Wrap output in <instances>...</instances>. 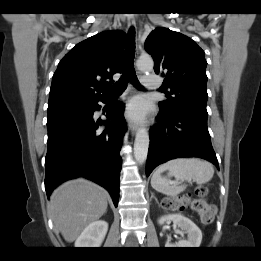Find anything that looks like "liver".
Wrapping results in <instances>:
<instances>
[{
  "mask_svg": "<svg viewBox=\"0 0 261 261\" xmlns=\"http://www.w3.org/2000/svg\"><path fill=\"white\" fill-rule=\"evenodd\" d=\"M107 191L85 179H76L57 188L50 199L55 226L67 242H73L107 210Z\"/></svg>",
  "mask_w": 261,
  "mask_h": 261,
  "instance_id": "liver-1",
  "label": "liver"
}]
</instances>
